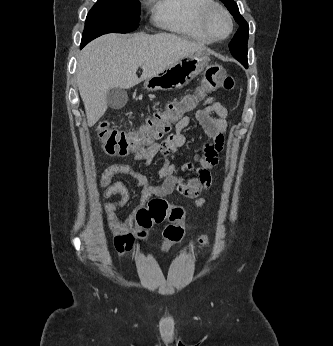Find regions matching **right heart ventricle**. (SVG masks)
I'll return each mask as SVG.
<instances>
[{
    "label": "right heart ventricle",
    "mask_w": 333,
    "mask_h": 346,
    "mask_svg": "<svg viewBox=\"0 0 333 346\" xmlns=\"http://www.w3.org/2000/svg\"><path fill=\"white\" fill-rule=\"evenodd\" d=\"M156 24L196 43L208 44L212 39L201 25L200 15L212 0H150Z\"/></svg>",
    "instance_id": "obj_1"
}]
</instances>
